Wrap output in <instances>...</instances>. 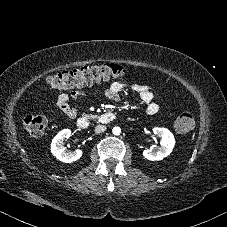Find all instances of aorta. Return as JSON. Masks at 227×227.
<instances>
[{"mask_svg":"<svg viewBox=\"0 0 227 227\" xmlns=\"http://www.w3.org/2000/svg\"><path fill=\"white\" fill-rule=\"evenodd\" d=\"M121 133V129L119 127H114L113 128V134L114 135H119Z\"/></svg>","mask_w":227,"mask_h":227,"instance_id":"obj_1","label":"aorta"}]
</instances>
